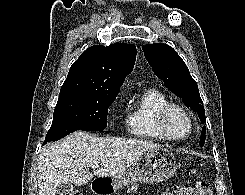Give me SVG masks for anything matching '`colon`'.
Wrapping results in <instances>:
<instances>
[{"instance_id": "obj_1", "label": "colon", "mask_w": 245, "mask_h": 195, "mask_svg": "<svg viewBox=\"0 0 245 195\" xmlns=\"http://www.w3.org/2000/svg\"><path fill=\"white\" fill-rule=\"evenodd\" d=\"M175 195H213V193L206 183L199 182L193 186L180 189Z\"/></svg>"}]
</instances>
